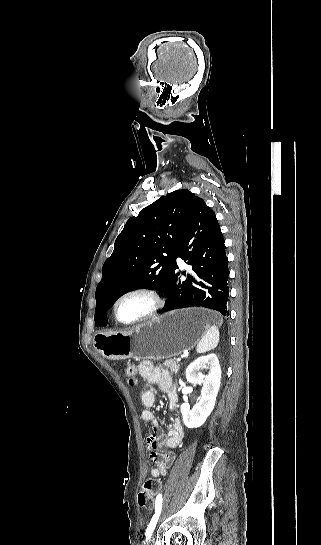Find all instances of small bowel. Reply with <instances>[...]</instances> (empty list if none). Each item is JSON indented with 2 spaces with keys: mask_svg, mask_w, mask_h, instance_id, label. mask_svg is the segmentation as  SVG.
<instances>
[{
  "mask_svg": "<svg viewBox=\"0 0 321 545\" xmlns=\"http://www.w3.org/2000/svg\"><path fill=\"white\" fill-rule=\"evenodd\" d=\"M139 373L148 383L158 384L159 390L167 395L169 410L172 412L178 402V393L168 371L146 360L141 362ZM141 402L145 407L141 417L152 427V432L146 436L148 449L150 450L149 457L155 464L150 470V475L152 478H158L166 475L169 466L174 461V453L171 449L176 448L181 443L183 439V427L179 419L170 413L166 434L163 436L158 420L149 410L155 403L154 392L151 389H144L141 392Z\"/></svg>",
  "mask_w": 321,
  "mask_h": 545,
  "instance_id": "c3829d8e",
  "label": "small bowel"
}]
</instances>
